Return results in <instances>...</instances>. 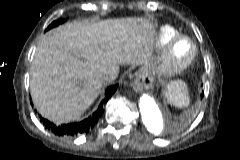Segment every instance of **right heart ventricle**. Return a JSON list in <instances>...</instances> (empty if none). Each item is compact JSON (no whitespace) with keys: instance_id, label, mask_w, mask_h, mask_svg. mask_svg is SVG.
<instances>
[{"instance_id":"obj_1","label":"right heart ventricle","mask_w":240,"mask_h":160,"mask_svg":"<svg viewBox=\"0 0 240 160\" xmlns=\"http://www.w3.org/2000/svg\"><path fill=\"white\" fill-rule=\"evenodd\" d=\"M178 34H179L178 30L170 25L161 26L158 29L157 34L155 36L153 48L155 50H161Z\"/></svg>"}]
</instances>
